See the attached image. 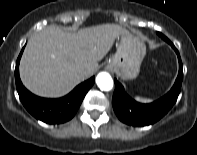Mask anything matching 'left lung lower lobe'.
Returning <instances> with one entry per match:
<instances>
[{
    "label": "left lung lower lobe",
    "mask_w": 197,
    "mask_h": 155,
    "mask_svg": "<svg viewBox=\"0 0 197 155\" xmlns=\"http://www.w3.org/2000/svg\"><path fill=\"white\" fill-rule=\"evenodd\" d=\"M175 50L179 60V73L172 89L157 101L149 104L138 103L126 94L123 86L115 79V91L112 98V105L118 118L125 124L132 126H146L161 119L175 104L180 93L183 79V65L178 50L165 37Z\"/></svg>",
    "instance_id": "0a47b994"
}]
</instances>
